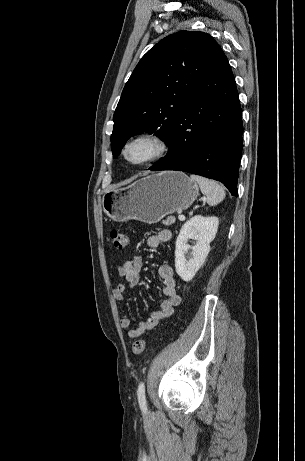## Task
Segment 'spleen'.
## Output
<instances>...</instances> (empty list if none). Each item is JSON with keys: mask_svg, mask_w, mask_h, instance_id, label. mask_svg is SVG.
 Returning a JSON list of instances; mask_svg holds the SVG:
<instances>
[{"mask_svg": "<svg viewBox=\"0 0 305 461\" xmlns=\"http://www.w3.org/2000/svg\"><path fill=\"white\" fill-rule=\"evenodd\" d=\"M190 178L199 185L201 192L205 195L206 201L210 206L217 205L224 200L226 193L223 187L217 182L193 174Z\"/></svg>", "mask_w": 305, "mask_h": 461, "instance_id": "3e777b00", "label": "spleen"}]
</instances>
